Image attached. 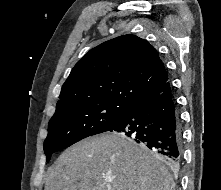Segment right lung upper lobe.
Returning <instances> with one entry per match:
<instances>
[{
	"label": "right lung upper lobe",
	"mask_w": 221,
	"mask_h": 190,
	"mask_svg": "<svg viewBox=\"0 0 221 190\" xmlns=\"http://www.w3.org/2000/svg\"><path fill=\"white\" fill-rule=\"evenodd\" d=\"M169 80L156 49L146 40L123 35L91 49L62 86L56 110L104 99L132 103Z\"/></svg>",
	"instance_id": "right-lung-upper-lobe-1"
}]
</instances>
